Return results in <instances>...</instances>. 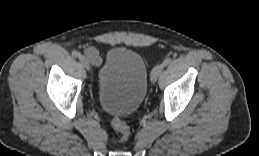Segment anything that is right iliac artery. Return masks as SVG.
I'll return each instance as SVG.
<instances>
[{
	"instance_id": "1",
	"label": "right iliac artery",
	"mask_w": 259,
	"mask_h": 156,
	"mask_svg": "<svg viewBox=\"0 0 259 156\" xmlns=\"http://www.w3.org/2000/svg\"><path fill=\"white\" fill-rule=\"evenodd\" d=\"M72 56H74V57H80L81 54H80V52L74 50V51H72Z\"/></svg>"
}]
</instances>
